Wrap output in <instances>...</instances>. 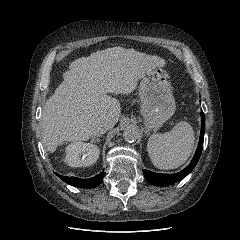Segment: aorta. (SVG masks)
Returning <instances> with one entry per match:
<instances>
[{"label":"aorta","instance_id":"762f6f07","mask_svg":"<svg viewBox=\"0 0 240 240\" xmlns=\"http://www.w3.org/2000/svg\"><path fill=\"white\" fill-rule=\"evenodd\" d=\"M123 138L130 143L135 142L139 138V129L134 125L127 126L123 131Z\"/></svg>","mask_w":240,"mask_h":240}]
</instances>
